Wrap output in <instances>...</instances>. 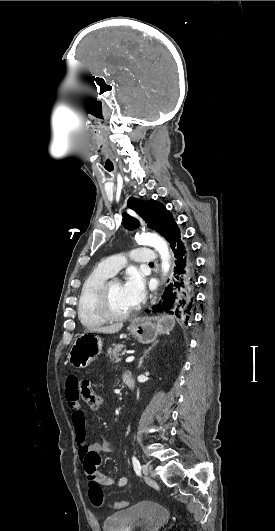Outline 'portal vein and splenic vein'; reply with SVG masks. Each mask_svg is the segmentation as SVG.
I'll return each mask as SVG.
<instances>
[{
	"instance_id": "18ae733b",
	"label": "portal vein and splenic vein",
	"mask_w": 275,
	"mask_h": 531,
	"mask_svg": "<svg viewBox=\"0 0 275 531\" xmlns=\"http://www.w3.org/2000/svg\"><path fill=\"white\" fill-rule=\"evenodd\" d=\"M135 357H128V359H125V363H132L134 361Z\"/></svg>"
}]
</instances>
